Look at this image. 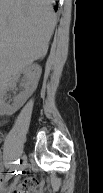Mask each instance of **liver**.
Wrapping results in <instances>:
<instances>
[{
	"instance_id": "1",
	"label": "liver",
	"mask_w": 103,
	"mask_h": 193,
	"mask_svg": "<svg viewBox=\"0 0 103 193\" xmlns=\"http://www.w3.org/2000/svg\"><path fill=\"white\" fill-rule=\"evenodd\" d=\"M53 0H0V79L46 56L55 26Z\"/></svg>"
}]
</instances>
